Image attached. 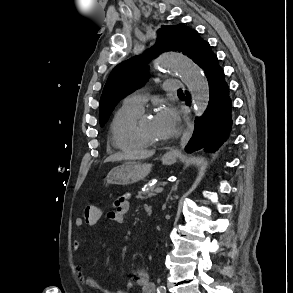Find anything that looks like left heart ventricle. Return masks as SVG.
Segmentation results:
<instances>
[{
	"mask_svg": "<svg viewBox=\"0 0 293 293\" xmlns=\"http://www.w3.org/2000/svg\"><path fill=\"white\" fill-rule=\"evenodd\" d=\"M145 134L151 139L162 141L167 138L157 120V115H150L143 120L142 123Z\"/></svg>",
	"mask_w": 293,
	"mask_h": 293,
	"instance_id": "left-heart-ventricle-1",
	"label": "left heart ventricle"
}]
</instances>
